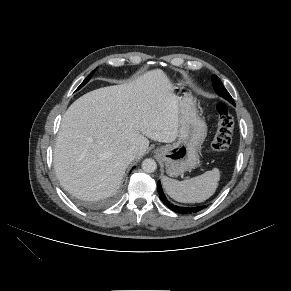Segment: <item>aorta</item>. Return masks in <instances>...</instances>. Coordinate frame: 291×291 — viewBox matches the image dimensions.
<instances>
[{"label":"aorta","mask_w":291,"mask_h":291,"mask_svg":"<svg viewBox=\"0 0 291 291\" xmlns=\"http://www.w3.org/2000/svg\"><path fill=\"white\" fill-rule=\"evenodd\" d=\"M157 164L154 159L147 158L142 162V169L147 173H152L156 170Z\"/></svg>","instance_id":"762f6f07"}]
</instances>
